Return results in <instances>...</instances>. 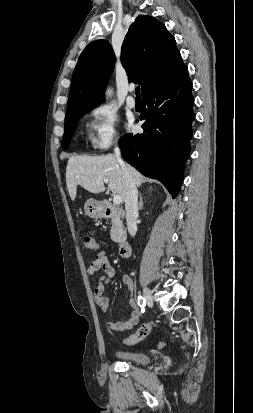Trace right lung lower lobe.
I'll list each match as a JSON object with an SVG mask.
<instances>
[{
  "mask_svg": "<svg viewBox=\"0 0 253 413\" xmlns=\"http://www.w3.org/2000/svg\"><path fill=\"white\" fill-rule=\"evenodd\" d=\"M192 82L187 66L173 79L148 90L140 119L144 133L120 139L123 159L143 175L160 180L175 197L190 154L193 113Z\"/></svg>",
  "mask_w": 253,
  "mask_h": 413,
  "instance_id": "obj_1",
  "label": "right lung lower lobe"
}]
</instances>
